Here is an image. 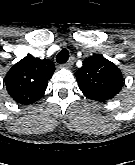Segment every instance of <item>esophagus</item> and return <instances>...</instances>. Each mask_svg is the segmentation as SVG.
Masks as SVG:
<instances>
[{"label": "esophagus", "mask_w": 135, "mask_h": 165, "mask_svg": "<svg viewBox=\"0 0 135 165\" xmlns=\"http://www.w3.org/2000/svg\"><path fill=\"white\" fill-rule=\"evenodd\" d=\"M74 61H75V58L73 56L70 57L68 62L65 64V67L68 68V69L72 68V66L74 65Z\"/></svg>", "instance_id": "obj_1"}]
</instances>
